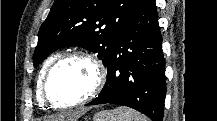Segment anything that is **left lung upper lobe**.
<instances>
[{
  "label": "left lung upper lobe",
  "instance_id": "5c2ea615",
  "mask_svg": "<svg viewBox=\"0 0 217 121\" xmlns=\"http://www.w3.org/2000/svg\"><path fill=\"white\" fill-rule=\"evenodd\" d=\"M139 0H55L40 27L33 63L37 67L53 51L79 46L106 65Z\"/></svg>",
  "mask_w": 217,
  "mask_h": 121
}]
</instances>
